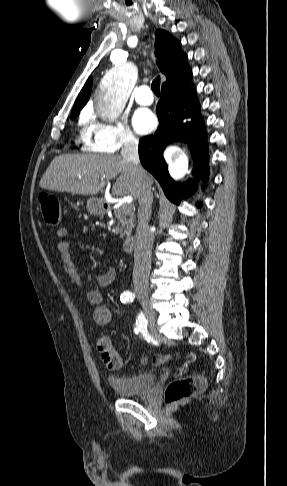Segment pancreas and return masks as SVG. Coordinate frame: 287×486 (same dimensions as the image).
I'll list each match as a JSON object with an SVG mask.
<instances>
[{"label":"pancreas","mask_w":287,"mask_h":486,"mask_svg":"<svg viewBox=\"0 0 287 486\" xmlns=\"http://www.w3.org/2000/svg\"><path fill=\"white\" fill-rule=\"evenodd\" d=\"M114 233L120 238L129 235L135 224V214L132 205H123L114 210Z\"/></svg>","instance_id":"pancreas-1"}]
</instances>
